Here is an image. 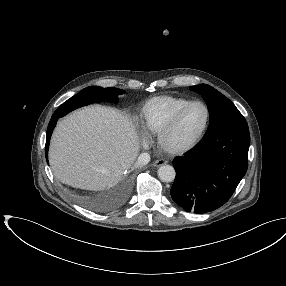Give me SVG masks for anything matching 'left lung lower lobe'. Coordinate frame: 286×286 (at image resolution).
Returning a JSON list of instances; mask_svg holds the SVG:
<instances>
[{"label":"left lung lower lobe","mask_w":286,"mask_h":286,"mask_svg":"<svg viewBox=\"0 0 286 286\" xmlns=\"http://www.w3.org/2000/svg\"><path fill=\"white\" fill-rule=\"evenodd\" d=\"M249 145L248 128H224L204 135L191 151L173 161L174 202L195 213L225 204L247 171Z\"/></svg>","instance_id":"1"}]
</instances>
